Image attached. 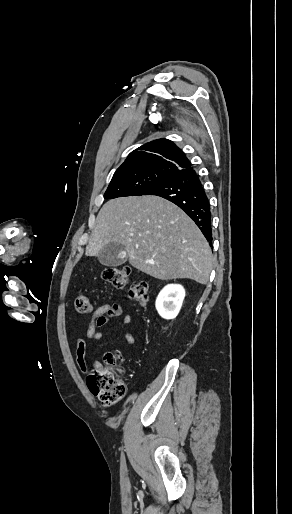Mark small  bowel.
Segmentation results:
<instances>
[{"mask_svg":"<svg viewBox=\"0 0 292 514\" xmlns=\"http://www.w3.org/2000/svg\"><path fill=\"white\" fill-rule=\"evenodd\" d=\"M119 319L120 324L129 325L132 322V317L128 314H123V308L119 303H105L98 306L91 318L90 325L86 332V338L97 341L100 337L101 330L112 320ZM124 341L129 345L137 343V337L131 332L124 331L122 333ZM75 353L76 363L81 373L88 374L89 368L87 364V345L83 338L75 340ZM95 369L100 371L102 369L101 362L95 360L93 362Z\"/></svg>","mask_w":292,"mask_h":514,"instance_id":"1","label":"small bowel"}]
</instances>
